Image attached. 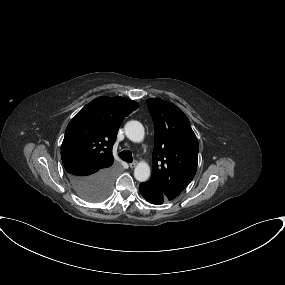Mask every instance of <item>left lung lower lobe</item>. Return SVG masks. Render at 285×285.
I'll return each instance as SVG.
<instances>
[{"instance_id":"0a47b994","label":"left lung lower lobe","mask_w":285,"mask_h":285,"mask_svg":"<svg viewBox=\"0 0 285 285\" xmlns=\"http://www.w3.org/2000/svg\"><path fill=\"white\" fill-rule=\"evenodd\" d=\"M139 189L141 195L145 198V200L152 204L160 205L165 201L172 200L164 193L161 187L153 181L149 180L147 182L141 183L139 185Z\"/></svg>"}]
</instances>
